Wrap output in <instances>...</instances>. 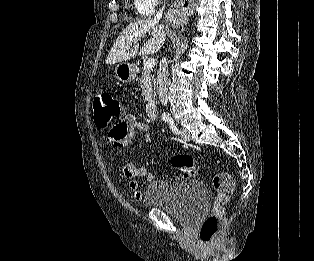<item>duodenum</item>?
<instances>
[{"label":"duodenum","instance_id":"duodenum-1","mask_svg":"<svg viewBox=\"0 0 314 261\" xmlns=\"http://www.w3.org/2000/svg\"><path fill=\"white\" fill-rule=\"evenodd\" d=\"M146 115L149 119L156 118V105L154 102H148L146 105Z\"/></svg>","mask_w":314,"mask_h":261}]
</instances>
